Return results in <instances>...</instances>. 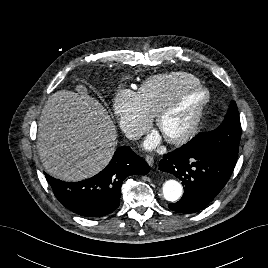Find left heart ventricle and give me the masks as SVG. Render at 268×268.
I'll return each instance as SVG.
<instances>
[{
  "instance_id": "obj_1",
  "label": "left heart ventricle",
  "mask_w": 268,
  "mask_h": 268,
  "mask_svg": "<svg viewBox=\"0 0 268 268\" xmlns=\"http://www.w3.org/2000/svg\"><path fill=\"white\" fill-rule=\"evenodd\" d=\"M199 94L195 91L185 93L175 110L161 123L160 132L163 136H175L181 133L189 124L198 104Z\"/></svg>"
}]
</instances>
